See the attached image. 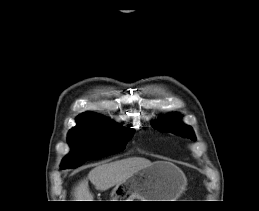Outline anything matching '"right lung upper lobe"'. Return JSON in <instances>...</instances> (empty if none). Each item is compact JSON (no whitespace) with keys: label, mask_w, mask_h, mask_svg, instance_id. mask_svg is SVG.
Instances as JSON below:
<instances>
[{"label":"right lung upper lobe","mask_w":259,"mask_h":211,"mask_svg":"<svg viewBox=\"0 0 259 211\" xmlns=\"http://www.w3.org/2000/svg\"><path fill=\"white\" fill-rule=\"evenodd\" d=\"M82 117L103 119V118H101L100 116H98L97 114L91 113V112H86V113H83V114H81V115L78 116V118H82Z\"/></svg>","instance_id":"right-lung-upper-lobe-1"}]
</instances>
